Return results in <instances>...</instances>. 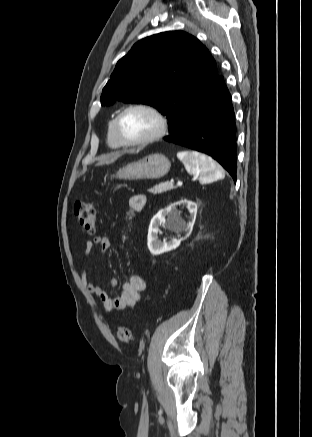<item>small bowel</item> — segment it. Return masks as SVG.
<instances>
[{"label":"small bowel","instance_id":"1","mask_svg":"<svg viewBox=\"0 0 312 437\" xmlns=\"http://www.w3.org/2000/svg\"><path fill=\"white\" fill-rule=\"evenodd\" d=\"M146 205V197L142 194H137L129 199L128 214L130 217L141 211ZM125 235L121 237V241L125 240ZM113 245L111 239L107 236H97L93 241H88L85 246V255L88 258L95 247L101 252H106ZM82 282L86 290L95 295L101 301L104 310L107 313L125 310L134 307L140 300L141 293L144 292L146 285L141 276H131L123 285L122 291L117 297H112L102 286L96 285L88 272L85 270L82 273ZM111 286H115L117 281L115 278L110 280Z\"/></svg>","mask_w":312,"mask_h":437}]
</instances>
